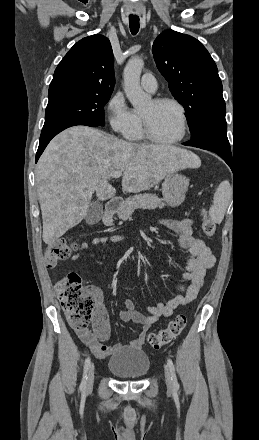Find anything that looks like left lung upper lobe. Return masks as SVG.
I'll return each mask as SVG.
<instances>
[{
  "instance_id": "5c2ea615",
  "label": "left lung upper lobe",
  "mask_w": 259,
  "mask_h": 440,
  "mask_svg": "<svg viewBox=\"0 0 259 440\" xmlns=\"http://www.w3.org/2000/svg\"><path fill=\"white\" fill-rule=\"evenodd\" d=\"M152 52L172 95L185 108L191 139L212 128L227 129L222 82L202 43L166 30L155 39Z\"/></svg>"
}]
</instances>
